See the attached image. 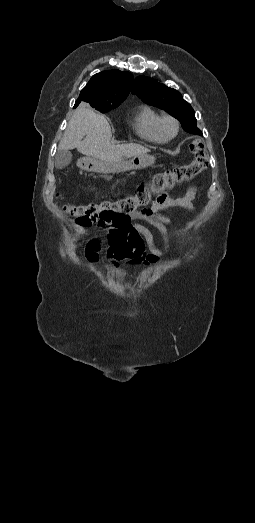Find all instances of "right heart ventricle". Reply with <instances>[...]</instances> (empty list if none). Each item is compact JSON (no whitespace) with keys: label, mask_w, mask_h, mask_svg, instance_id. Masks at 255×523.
I'll use <instances>...</instances> for the list:
<instances>
[{"label":"right heart ventricle","mask_w":255,"mask_h":523,"mask_svg":"<svg viewBox=\"0 0 255 523\" xmlns=\"http://www.w3.org/2000/svg\"><path fill=\"white\" fill-rule=\"evenodd\" d=\"M161 117V114L153 107L143 106L136 119L135 129L137 134L147 141L163 142L165 138L159 127Z\"/></svg>","instance_id":"1"}]
</instances>
